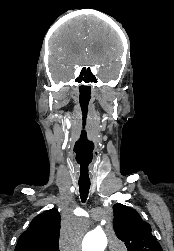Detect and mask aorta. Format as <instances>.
Wrapping results in <instances>:
<instances>
[{
    "mask_svg": "<svg viewBox=\"0 0 174 251\" xmlns=\"http://www.w3.org/2000/svg\"><path fill=\"white\" fill-rule=\"evenodd\" d=\"M107 246V237L103 231H91L86 234L83 244V251H104ZM122 250V249H120Z\"/></svg>",
    "mask_w": 174,
    "mask_h": 251,
    "instance_id": "1",
    "label": "aorta"
}]
</instances>
